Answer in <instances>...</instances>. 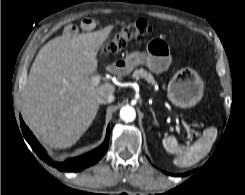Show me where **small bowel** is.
Returning a JSON list of instances; mask_svg holds the SVG:
<instances>
[{"label": "small bowel", "mask_w": 245, "mask_h": 195, "mask_svg": "<svg viewBox=\"0 0 245 195\" xmlns=\"http://www.w3.org/2000/svg\"><path fill=\"white\" fill-rule=\"evenodd\" d=\"M96 26V21L93 18H85L82 20L81 22V28L83 30H92L94 29ZM78 28L74 25V24H68L65 28H64V33L67 36H73L77 33Z\"/></svg>", "instance_id": "1"}]
</instances>
